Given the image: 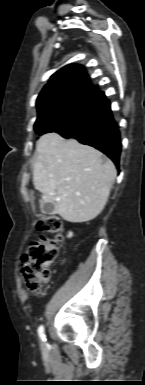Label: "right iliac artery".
<instances>
[{
	"label": "right iliac artery",
	"mask_w": 145,
	"mask_h": 385,
	"mask_svg": "<svg viewBox=\"0 0 145 385\" xmlns=\"http://www.w3.org/2000/svg\"><path fill=\"white\" fill-rule=\"evenodd\" d=\"M38 334H39L41 341L45 342L46 337H45V333H44V327L42 325L38 328Z\"/></svg>",
	"instance_id": "right-iliac-artery-1"
}]
</instances>
